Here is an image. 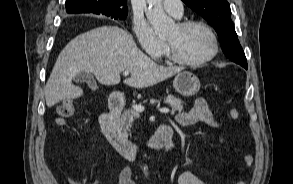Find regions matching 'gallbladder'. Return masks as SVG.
<instances>
[{"label":"gallbladder","instance_id":"obj_1","mask_svg":"<svg viewBox=\"0 0 293 184\" xmlns=\"http://www.w3.org/2000/svg\"><path fill=\"white\" fill-rule=\"evenodd\" d=\"M73 80L76 83H79V82H87V83H90L92 86L95 85V80H94L93 76L90 73H87V72L78 73L74 77Z\"/></svg>","mask_w":293,"mask_h":184}]
</instances>
